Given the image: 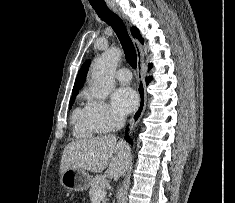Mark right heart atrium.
<instances>
[{"instance_id":"obj_1","label":"right heart atrium","mask_w":235,"mask_h":203,"mask_svg":"<svg viewBox=\"0 0 235 203\" xmlns=\"http://www.w3.org/2000/svg\"><path fill=\"white\" fill-rule=\"evenodd\" d=\"M87 107L92 121L99 132H110L123 121V118L103 100L90 98Z\"/></svg>"}]
</instances>
